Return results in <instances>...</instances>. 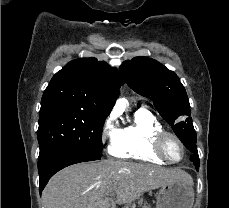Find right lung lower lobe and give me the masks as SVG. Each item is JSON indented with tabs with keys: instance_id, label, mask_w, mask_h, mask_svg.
I'll return each instance as SVG.
<instances>
[{
	"instance_id": "1",
	"label": "right lung lower lobe",
	"mask_w": 229,
	"mask_h": 208,
	"mask_svg": "<svg viewBox=\"0 0 229 208\" xmlns=\"http://www.w3.org/2000/svg\"><path fill=\"white\" fill-rule=\"evenodd\" d=\"M101 157L102 156H98L75 147H64L53 151L47 157L38 162L40 193L46 186L49 179L59 170L72 164L99 160Z\"/></svg>"
}]
</instances>
